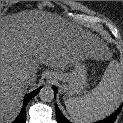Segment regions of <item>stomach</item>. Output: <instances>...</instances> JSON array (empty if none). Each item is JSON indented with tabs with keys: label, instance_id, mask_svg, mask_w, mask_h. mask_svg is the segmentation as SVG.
Returning a JSON list of instances; mask_svg holds the SVG:
<instances>
[{
	"label": "stomach",
	"instance_id": "1",
	"mask_svg": "<svg viewBox=\"0 0 123 123\" xmlns=\"http://www.w3.org/2000/svg\"><path fill=\"white\" fill-rule=\"evenodd\" d=\"M49 77L66 82L68 84V95L80 94L87 86V70L86 65L82 61L75 62L69 72L56 69L50 73Z\"/></svg>",
	"mask_w": 123,
	"mask_h": 123
}]
</instances>
